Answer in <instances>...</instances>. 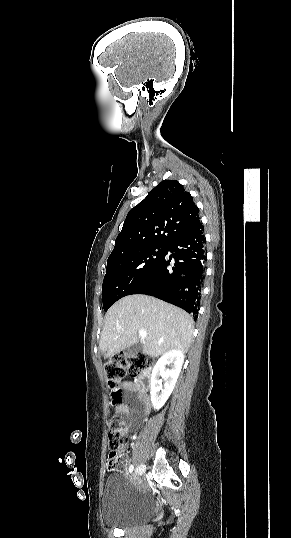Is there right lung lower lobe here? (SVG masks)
Masks as SVG:
<instances>
[{
    "instance_id": "obj_1",
    "label": "right lung lower lobe",
    "mask_w": 291,
    "mask_h": 538,
    "mask_svg": "<svg viewBox=\"0 0 291 538\" xmlns=\"http://www.w3.org/2000/svg\"><path fill=\"white\" fill-rule=\"evenodd\" d=\"M205 244L201 223L172 240L163 258L131 294L154 296L197 319L205 279ZM168 251L172 253L169 257Z\"/></svg>"
}]
</instances>
